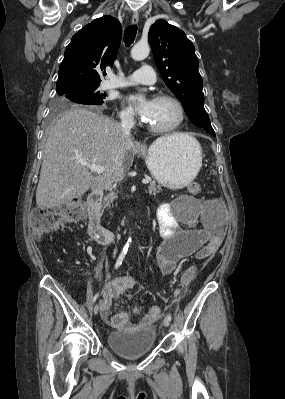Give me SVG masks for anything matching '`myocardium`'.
I'll use <instances>...</instances> for the list:
<instances>
[{
    "instance_id": "obj_1",
    "label": "myocardium",
    "mask_w": 285,
    "mask_h": 399,
    "mask_svg": "<svg viewBox=\"0 0 285 399\" xmlns=\"http://www.w3.org/2000/svg\"><path fill=\"white\" fill-rule=\"evenodd\" d=\"M155 100H168V101L174 103L179 111V119L175 124L167 126V127H156V126H153L150 123L146 122L148 129H150L151 131L156 132V133H168V132H172V131L176 130L178 127H180L185 118V110H184V106L181 103V101L179 99H177L176 97L169 95V94H159L155 98Z\"/></svg>"
}]
</instances>
